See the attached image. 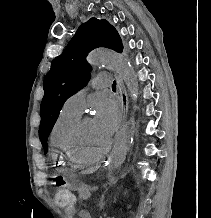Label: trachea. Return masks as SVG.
<instances>
[{
  "instance_id": "1",
  "label": "trachea",
  "mask_w": 211,
  "mask_h": 218,
  "mask_svg": "<svg viewBox=\"0 0 211 218\" xmlns=\"http://www.w3.org/2000/svg\"><path fill=\"white\" fill-rule=\"evenodd\" d=\"M112 88H116V82H113Z\"/></svg>"
}]
</instances>
